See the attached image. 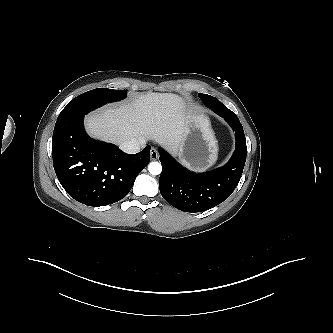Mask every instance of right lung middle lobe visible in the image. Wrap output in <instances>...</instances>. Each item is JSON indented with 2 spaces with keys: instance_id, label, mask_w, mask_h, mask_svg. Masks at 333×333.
<instances>
[{
  "instance_id": "dd1d6c3e",
  "label": "right lung middle lobe",
  "mask_w": 333,
  "mask_h": 333,
  "mask_svg": "<svg viewBox=\"0 0 333 333\" xmlns=\"http://www.w3.org/2000/svg\"><path fill=\"white\" fill-rule=\"evenodd\" d=\"M126 90H113L107 88H97L85 92L66 105L60 115L72 114L80 116L103 106L106 103L122 100L126 97Z\"/></svg>"
}]
</instances>
